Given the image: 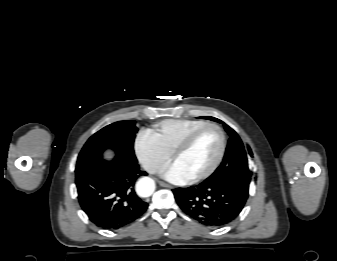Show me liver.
<instances>
[{"mask_svg":"<svg viewBox=\"0 0 337 261\" xmlns=\"http://www.w3.org/2000/svg\"><path fill=\"white\" fill-rule=\"evenodd\" d=\"M107 158H108V159L111 158L110 154H107Z\"/></svg>","mask_w":337,"mask_h":261,"instance_id":"obj_1","label":"liver"}]
</instances>
